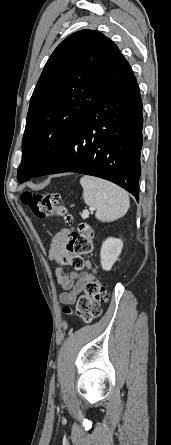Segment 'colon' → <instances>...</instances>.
Instances as JSON below:
<instances>
[{
	"label": "colon",
	"mask_w": 171,
	"mask_h": 445,
	"mask_svg": "<svg viewBox=\"0 0 171 445\" xmlns=\"http://www.w3.org/2000/svg\"><path fill=\"white\" fill-rule=\"evenodd\" d=\"M23 203L31 212L41 219L58 216L65 224L73 223V216L66 207L60 204L61 197L57 192L31 193L25 192L22 195ZM93 231L87 223L79 224L73 231L66 245L67 256L63 264L79 270L83 267V256L93 251ZM108 293L106 288L98 279L88 281L84 286V293L79 297L76 305V315L85 322H92L101 315V304L107 302ZM63 312L70 315L72 310L65 307Z\"/></svg>",
	"instance_id": "5ec220e1"
}]
</instances>
